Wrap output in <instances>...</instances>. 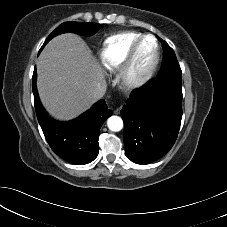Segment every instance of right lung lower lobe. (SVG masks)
I'll use <instances>...</instances> for the list:
<instances>
[{
  "label": "right lung lower lobe",
  "mask_w": 227,
  "mask_h": 227,
  "mask_svg": "<svg viewBox=\"0 0 227 227\" xmlns=\"http://www.w3.org/2000/svg\"><path fill=\"white\" fill-rule=\"evenodd\" d=\"M32 83L36 115L54 153L75 165L92 162L98 155L100 128L112 115L105 101H98L75 120L59 122L50 118L40 103L36 88V70L33 73Z\"/></svg>",
  "instance_id": "98d812e1"
}]
</instances>
